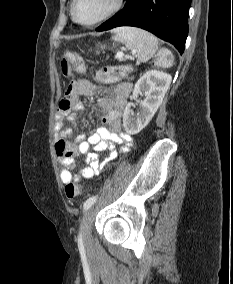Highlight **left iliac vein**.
I'll list each match as a JSON object with an SVG mask.
<instances>
[{"mask_svg": "<svg viewBox=\"0 0 233 284\" xmlns=\"http://www.w3.org/2000/svg\"><path fill=\"white\" fill-rule=\"evenodd\" d=\"M93 209L88 210L81 223V233L83 241L86 245L91 242V220H92Z\"/></svg>", "mask_w": 233, "mask_h": 284, "instance_id": "obj_1", "label": "left iliac vein"}]
</instances>
